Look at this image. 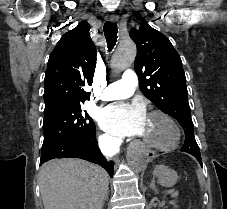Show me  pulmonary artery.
I'll use <instances>...</instances> for the list:
<instances>
[{
  "instance_id": "pulmonary-artery-1",
  "label": "pulmonary artery",
  "mask_w": 227,
  "mask_h": 209,
  "mask_svg": "<svg viewBox=\"0 0 227 209\" xmlns=\"http://www.w3.org/2000/svg\"><path fill=\"white\" fill-rule=\"evenodd\" d=\"M136 82V73H133L132 70H125L123 78L117 83H107L109 88H100V91H106L102 96V99L105 101H111L129 97L134 92Z\"/></svg>"
}]
</instances>
